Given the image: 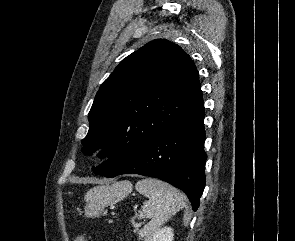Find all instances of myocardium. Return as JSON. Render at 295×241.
Instances as JSON below:
<instances>
[{
    "label": "myocardium",
    "mask_w": 295,
    "mask_h": 241,
    "mask_svg": "<svg viewBox=\"0 0 295 241\" xmlns=\"http://www.w3.org/2000/svg\"><path fill=\"white\" fill-rule=\"evenodd\" d=\"M109 152V148L104 143H96L90 150L89 156L93 160H99L105 157Z\"/></svg>",
    "instance_id": "obj_1"
}]
</instances>
